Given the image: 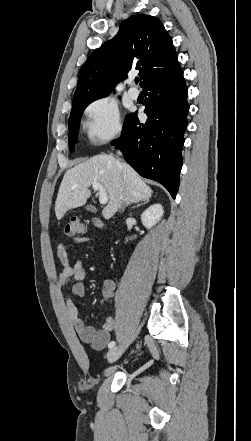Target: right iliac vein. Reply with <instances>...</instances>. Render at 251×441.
I'll return each mask as SVG.
<instances>
[{
	"mask_svg": "<svg viewBox=\"0 0 251 441\" xmlns=\"http://www.w3.org/2000/svg\"><path fill=\"white\" fill-rule=\"evenodd\" d=\"M125 349H126V346L114 347V348L110 349V351L107 354L108 362L114 363L115 361H117L121 357V355L123 354Z\"/></svg>",
	"mask_w": 251,
	"mask_h": 441,
	"instance_id": "1",
	"label": "right iliac vein"
}]
</instances>
